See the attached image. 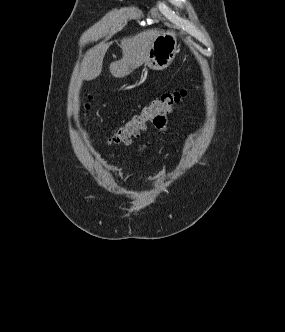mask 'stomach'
<instances>
[{
	"label": "stomach",
	"mask_w": 285,
	"mask_h": 332,
	"mask_svg": "<svg viewBox=\"0 0 285 332\" xmlns=\"http://www.w3.org/2000/svg\"><path fill=\"white\" fill-rule=\"evenodd\" d=\"M178 52L179 45L175 32H161L154 40L145 64L153 70H163L172 63Z\"/></svg>",
	"instance_id": "1"
}]
</instances>
